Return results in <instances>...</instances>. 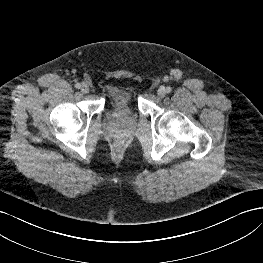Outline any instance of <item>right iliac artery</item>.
I'll use <instances>...</instances> for the list:
<instances>
[{"mask_svg":"<svg viewBox=\"0 0 263 263\" xmlns=\"http://www.w3.org/2000/svg\"><path fill=\"white\" fill-rule=\"evenodd\" d=\"M75 87H76L77 89H79V88H81V84H80V83H76V84H75Z\"/></svg>","mask_w":263,"mask_h":263,"instance_id":"1","label":"right iliac artery"}]
</instances>
